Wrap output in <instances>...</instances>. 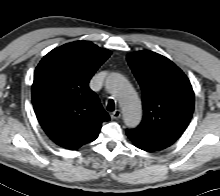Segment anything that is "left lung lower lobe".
Returning a JSON list of instances; mask_svg holds the SVG:
<instances>
[{
  "label": "left lung lower lobe",
  "mask_w": 220,
  "mask_h": 196,
  "mask_svg": "<svg viewBox=\"0 0 220 196\" xmlns=\"http://www.w3.org/2000/svg\"><path fill=\"white\" fill-rule=\"evenodd\" d=\"M129 139L133 142V144L138 147L139 149H142L147 152H153V151H158L156 148L150 146L148 143H146L143 139L140 137L136 136L130 131H126Z\"/></svg>",
  "instance_id": "obj_1"
}]
</instances>
